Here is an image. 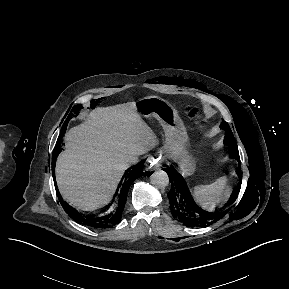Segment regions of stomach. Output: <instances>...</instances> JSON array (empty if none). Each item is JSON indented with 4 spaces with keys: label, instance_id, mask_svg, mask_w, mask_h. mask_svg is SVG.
Instances as JSON below:
<instances>
[{
    "label": "stomach",
    "instance_id": "stomach-1",
    "mask_svg": "<svg viewBox=\"0 0 289 289\" xmlns=\"http://www.w3.org/2000/svg\"><path fill=\"white\" fill-rule=\"evenodd\" d=\"M141 117H154L165 132L166 157L175 160L184 173L194 169V160L190 154L189 138L185 126L176 109L166 100L150 96L136 102Z\"/></svg>",
    "mask_w": 289,
    "mask_h": 289
}]
</instances>
